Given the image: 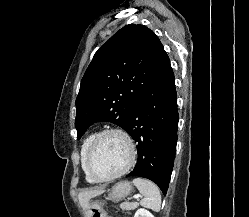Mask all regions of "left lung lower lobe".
Returning <instances> with one entry per match:
<instances>
[{"mask_svg":"<svg viewBox=\"0 0 249 217\" xmlns=\"http://www.w3.org/2000/svg\"><path fill=\"white\" fill-rule=\"evenodd\" d=\"M177 95L170 61L134 105L126 131L137 142L138 160L127 176L155 182L166 194L174 164Z\"/></svg>","mask_w":249,"mask_h":217,"instance_id":"0a47b994","label":"left lung lower lobe"}]
</instances>
